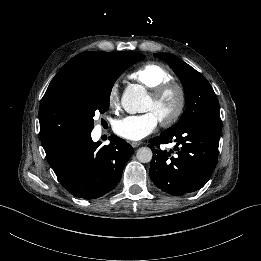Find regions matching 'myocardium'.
I'll return each instance as SVG.
<instances>
[{
  "instance_id": "obj_1",
  "label": "myocardium",
  "mask_w": 261,
  "mask_h": 261,
  "mask_svg": "<svg viewBox=\"0 0 261 261\" xmlns=\"http://www.w3.org/2000/svg\"><path fill=\"white\" fill-rule=\"evenodd\" d=\"M174 94L177 97V104L173 112L159 119L161 125L168 127L173 125L183 114L186 106V93L182 85L175 81L165 82L155 88L150 94L153 104H158L166 96Z\"/></svg>"
}]
</instances>
